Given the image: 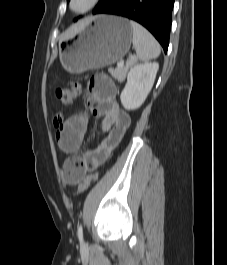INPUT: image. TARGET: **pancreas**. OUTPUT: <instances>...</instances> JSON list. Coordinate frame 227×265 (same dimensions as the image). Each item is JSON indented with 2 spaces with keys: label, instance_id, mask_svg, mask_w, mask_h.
Returning a JSON list of instances; mask_svg holds the SVG:
<instances>
[{
  "label": "pancreas",
  "instance_id": "obj_1",
  "mask_svg": "<svg viewBox=\"0 0 227 265\" xmlns=\"http://www.w3.org/2000/svg\"><path fill=\"white\" fill-rule=\"evenodd\" d=\"M131 66V62H128L125 66L123 67H118L116 69H109V73L117 79L119 82H123L126 78L127 72L129 67Z\"/></svg>",
  "mask_w": 227,
  "mask_h": 265
}]
</instances>
